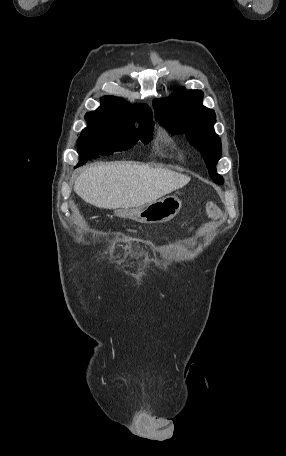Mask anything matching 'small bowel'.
<instances>
[{"mask_svg":"<svg viewBox=\"0 0 286 456\" xmlns=\"http://www.w3.org/2000/svg\"><path fill=\"white\" fill-rule=\"evenodd\" d=\"M213 216H214L215 218H219V217H220V213H219V212H215V213H213Z\"/></svg>","mask_w":286,"mask_h":456,"instance_id":"1","label":"small bowel"}]
</instances>
